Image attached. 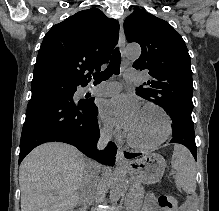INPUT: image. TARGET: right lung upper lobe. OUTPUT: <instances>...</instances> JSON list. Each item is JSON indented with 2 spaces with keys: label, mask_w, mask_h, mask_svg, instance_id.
<instances>
[{
  "label": "right lung upper lobe",
  "mask_w": 219,
  "mask_h": 211,
  "mask_svg": "<svg viewBox=\"0 0 219 211\" xmlns=\"http://www.w3.org/2000/svg\"><path fill=\"white\" fill-rule=\"evenodd\" d=\"M118 34L119 23L97 8L54 25L38 52L31 87L86 86L93 70L109 61Z\"/></svg>",
  "instance_id": "right-lung-upper-lobe-1"
}]
</instances>
